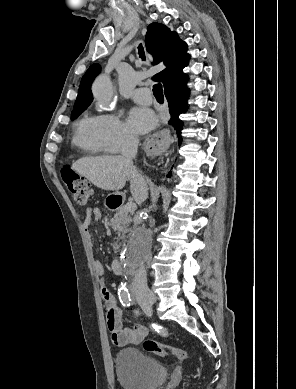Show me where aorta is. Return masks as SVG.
<instances>
[{
  "mask_svg": "<svg viewBox=\"0 0 296 389\" xmlns=\"http://www.w3.org/2000/svg\"><path fill=\"white\" fill-rule=\"evenodd\" d=\"M95 99L104 107L110 108L114 101V92L108 73L100 75L92 86ZM151 234L147 229H135L122 248V257L132 266L140 265L149 255Z\"/></svg>",
  "mask_w": 296,
  "mask_h": 389,
  "instance_id": "1",
  "label": "aorta"
}]
</instances>
